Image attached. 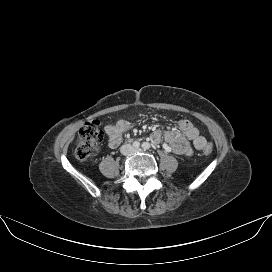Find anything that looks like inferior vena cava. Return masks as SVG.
<instances>
[{
	"label": "inferior vena cava",
	"instance_id": "1",
	"mask_svg": "<svg viewBox=\"0 0 272 272\" xmlns=\"http://www.w3.org/2000/svg\"><path fill=\"white\" fill-rule=\"evenodd\" d=\"M120 152L123 155H130L135 152V148L130 144H124L120 147Z\"/></svg>",
	"mask_w": 272,
	"mask_h": 272
}]
</instances>
